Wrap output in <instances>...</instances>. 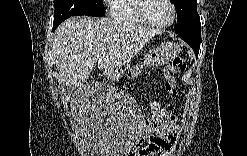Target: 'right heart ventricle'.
I'll return each instance as SVG.
<instances>
[{
  "mask_svg": "<svg viewBox=\"0 0 247 156\" xmlns=\"http://www.w3.org/2000/svg\"><path fill=\"white\" fill-rule=\"evenodd\" d=\"M111 14L115 19L123 23L137 25L145 24L138 12L137 0L113 1L111 5Z\"/></svg>",
  "mask_w": 247,
  "mask_h": 156,
  "instance_id": "1",
  "label": "right heart ventricle"
}]
</instances>
